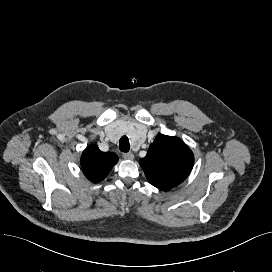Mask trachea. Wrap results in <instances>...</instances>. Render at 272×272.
Masks as SVG:
<instances>
[{"mask_svg": "<svg viewBox=\"0 0 272 272\" xmlns=\"http://www.w3.org/2000/svg\"><path fill=\"white\" fill-rule=\"evenodd\" d=\"M119 149L121 152H128L130 150L129 139L127 136H122L119 141Z\"/></svg>", "mask_w": 272, "mask_h": 272, "instance_id": "trachea-1", "label": "trachea"}]
</instances>
